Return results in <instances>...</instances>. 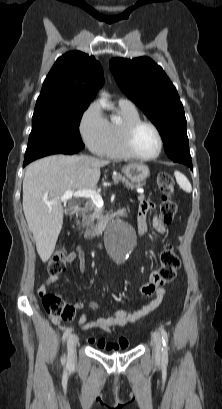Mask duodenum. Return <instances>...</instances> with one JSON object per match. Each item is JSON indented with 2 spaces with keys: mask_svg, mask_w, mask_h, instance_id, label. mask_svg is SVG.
I'll return each mask as SVG.
<instances>
[{
  "mask_svg": "<svg viewBox=\"0 0 222 409\" xmlns=\"http://www.w3.org/2000/svg\"><path fill=\"white\" fill-rule=\"evenodd\" d=\"M80 210H81V207L79 205H75L70 209V212L72 214H77L80 212ZM125 215H126V212L124 210H121V211L114 213L112 217L100 220L94 227L93 235L98 236L102 234L108 223H110L113 219L123 218Z\"/></svg>",
  "mask_w": 222,
  "mask_h": 409,
  "instance_id": "obj_1",
  "label": "duodenum"
}]
</instances>
